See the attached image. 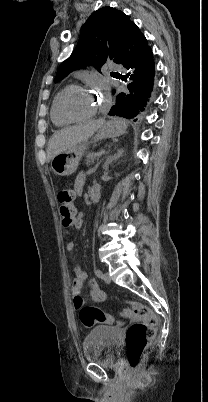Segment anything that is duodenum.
<instances>
[{"instance_id":"obj_1","label":"duodenum","mask_w":208,"mask_h":402,"mask_svg":"<svg viewBox=\"0 0 208 402\" xmlns=\"http://www.w3.org/2000/svg\"><path fill=\"white\" fill-rule=\"evenodd\" d=\"M101 189L98 185H94L91 188V199L93 202H97L100 198Z\"/></svg>"}]
</instances>
